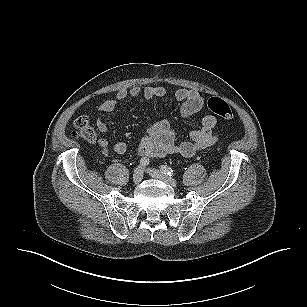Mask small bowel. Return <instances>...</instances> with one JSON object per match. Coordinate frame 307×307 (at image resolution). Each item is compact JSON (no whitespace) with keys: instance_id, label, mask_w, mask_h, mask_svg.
I'll return each instance as SVG.
<instances>
[{"instance_id":"small-bowel-1","label":"small bowel","mask_w":307,"mask_h":307,"mask_svg":"<svg viewBox=\"0 0 307 307\" xmlns=\"http://www.w3.org/2000/svg\"><path fill=\"white\" fill-rule=\"evenodd\" d=\"M166 93V89L162 86H148L145 88L134 86L130 89H120L116 94V99H108L99 105L98 130L102 133L108 131V126L104 122L103 116L114 111L119 101L141 96L146 100L163 98L166 96ZM174 98L181 103V114L184 118L193 116L205 107L204 98L195 90L178 89L174 93ZM217 124V118L207 114L202 118L201 126L189 132V140L175 143V134L170 123L165 119L157 120L151 124L147 135L142 138L138 147V154L146 159L161 158L168 154L191 157L196 152L217 142ZM97 145L104 155L109 154V143L106 139H99ZM113 150L117 154H124L127 151V145L123 141H118L113 145Z\"/></svg>"}]
</instances>
